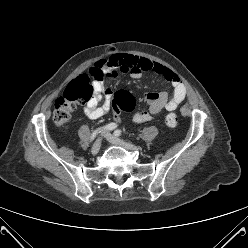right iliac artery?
<instances>
[{"instance_id": "82829eb1", "label": "right iliac artery", "mask_w": 248, "mask_h": 248, "mask_svg": "<svg viewBox=\"0 0 248 248\" xmlns=\"http://www.w3.org/2000/svg\"><path fill=\"white\" fill-rule=\"evenodd\" d=\"M116 127H117V124L109 123V124H107V125H105L103 127H100L98 129L94 130L92 132V134H91L90 141H93L96 138V136L98 134H100L101 132L111 131V130H114Z\"/></svg>"}]
</instances>
